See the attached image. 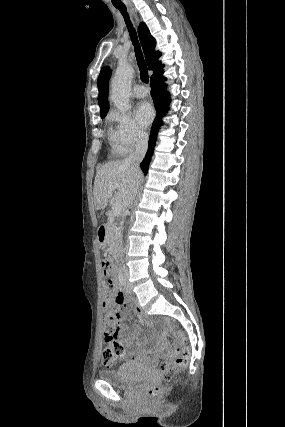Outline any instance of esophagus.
<instances>
[{
    "label": "esophagus",
    "mask_w": 285,
    "mask_h": 427,
    "mask_svg": "<svg viewBox=\"0 0 285 427\" xmlns=\"http://www.w3.org/2000/svg\"><path fill=\"white\" fill-rule=\"evenodd\" d=\"M134 15H135V19L138 20L137 15L135 13H134Z\"/></svg>",
    "instance_id": "esophagus-1"
}]
</instances>
